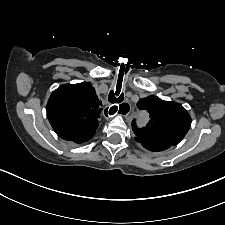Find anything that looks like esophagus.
<instances>
[{"label": "esophagus", "mask_w": 225, "mask_h": 225, "mask_svg": "<svg viewBox=\"0 0 225 225\" xmlns=\"http://www.w3.org/2000/svg\"><path fill=\"white\" fill-rule=\"evenodd\" d=\"M125 104H127V105H125L124 109L119 111L120 108H118L117 111H116V114H119V115L124 116V117H126L130 114V112H131L130 105L126 102H125ZM113 106H115V105L109 106L108 111L110 110L112 112V110L114 109Z\"/></svg>", "instance_id": "esophagus-1"}]
</instances>
